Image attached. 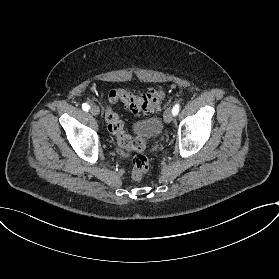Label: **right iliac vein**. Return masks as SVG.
I'll return each instance as SVG.
<instances>
[{
	"mask_svg": "<svg viewBox=\"0 0 279 279\" xmlns=\"http://www.w3.org/2000/svg\"><path fill=\"white\" fill-rule=\"evenodd\" d=\"M90 113L92 115L96 116L100 113V109L97 106H92L90 109Z\"/></svg>",
	"mask_w": 279,
	"mask_h": 279,
	"instance_id": "obj_1",
	"label": "right iliac vein"
}]
</instances>
